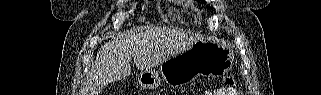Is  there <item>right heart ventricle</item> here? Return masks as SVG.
Returning a JSON list of instances; mask_svg holds the SVG:
<instances>
[{
  "mask_svg": "<svg viewBox=\"0 0 321 95\" xmlns=\"http://www.w3.org/2000/svg\"><path fill=\"white\" fill-rule=\"evenodd\" d=\"M172 11L175 13V12H177V9L174 8V9H172Z\"/></svg>",
  "mask_w": 321,
  "mask_h": 95,
  "instance_id": "obj_1",
  "label": "right heart ventricle"
}]
</instances>
